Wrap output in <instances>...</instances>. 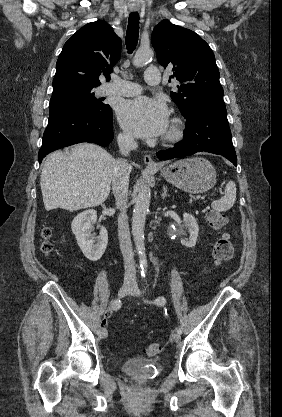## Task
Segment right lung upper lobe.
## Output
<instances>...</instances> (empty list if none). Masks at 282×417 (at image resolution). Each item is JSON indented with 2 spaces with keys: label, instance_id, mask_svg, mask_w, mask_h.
<instances>
[{
  "label": "right lung upper lobe",
  "instance_id": "obj_1",
  "mask_svg": "<svg viewBox=\"0 0 282 417\" xmlns=\"http://www.w3.org/2000/svg\"><path fill=\"white\" fill-rule=\"evenodd\" d=\"M120 54L121 39L107 22L86 24L65 43L58 57L53 93L99 86L100 74L108 75Z\"/></svg>",
  "mask_w": 282,
  "mask_h": 417
}]
</instances>
